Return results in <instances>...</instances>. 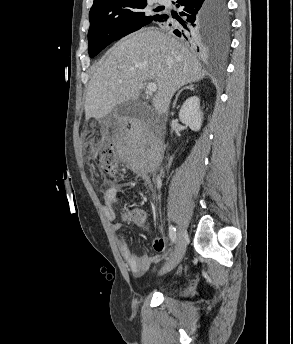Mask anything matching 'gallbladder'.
Wrapping results in <instances>:
<instances>
[{"mask_svg":"<svg viewBox=\"0 0 293 344\" xmlns=\"http://www.w3.org/2000/svg\"><path fill=\"white\" fill-rule=\"evenodd\" d=\"M142 106V102L130 100L128 102L117 105L114 110V115L116 118H122L124 116L139 117L141 114Z\"/></svg>","mask_w":293,"mask_h":344,"instance_id":"1","label":"gallbladder"}]
</instances>
